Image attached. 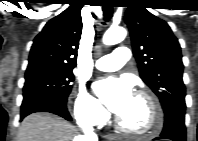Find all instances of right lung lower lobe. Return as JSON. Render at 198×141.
I'll return each instance as SVG.
<instances>
[{
  "label": "right lung lower lobe",
  "mask_w": 198,
  "mask_h": 141,
  "mask_svg": "<svg viewBox=\"0 0 198 141\" xmlns=\"http://www.w3.org/2000/svg\"><path fill=\"white\" fill-rule=\"evenodd\" d=\"M34 112H50L59 115L66 120H71V116L66 108V103L45 96L24 97L21 105V120Z\"/></svg>",
  "instance_id": "1"
}]
</instances>
